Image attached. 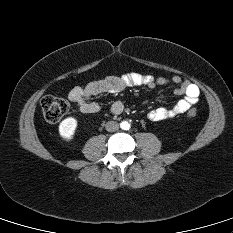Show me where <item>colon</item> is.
Here are the masks:
<instances>
[{"mask_svg":"<svg viewBox=\"0 0 233 233\" xmlns=\"http://www.w3.org/2000/svg\"><path fill=\"white\" fill-rule=\"evenodd\" d=\"M41 108L44 118L49 123H57L68 111V103L65 99L52 95H46L41 100ZM197 115V109L191 108L187 116L193 118Z\"/></svg>","mask_w":233,"mask_h":233,"instance_id":"5ec220e1","label":"colon"}]
</instances>
